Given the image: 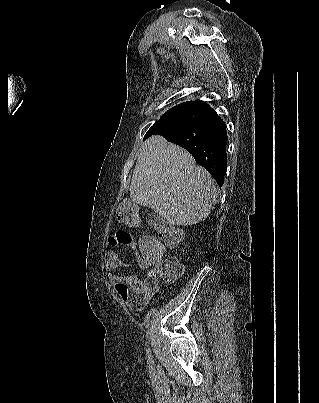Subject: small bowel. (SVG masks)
<instances>
[{
  "label": "small bowel",
  "instance_id": "small-bowel-1",
  "mask_svg": "<svg viewBox=\"0 0 319 403\" xmlns=\"http://www.w3.org/2000/svg\"><path fill=\"white\" fill-rule=\"evenodd\" d=\"M110 237V246H118L119 249H138V236L133 229H114ZM105 267L109 277L113 279V287H117V300H125L126 309H145L147 300L151 299L150 287L146 279H139V274L115 275L114 271L122 267L118 254L109 250L106 254ZM139 271H147L151 267L156 269V263L147 259L140 252L138 256Z\"/></svg>",
  "mask_w": 319,
  "mask_h": 403
}]
</instances>
